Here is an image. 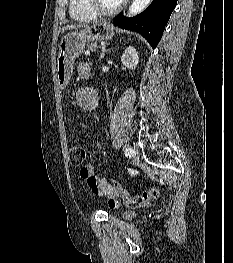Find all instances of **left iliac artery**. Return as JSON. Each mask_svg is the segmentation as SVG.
Wrapping results in <instances>:
<instances>
[{"instance_id": "44dca946", "label": "left iliac artery", "mask_w": 233, "mask_h": 263, "mask_svg": "<svg viewBox=\"0 0 233 263\" xmlns=\"http://www.w3.org/2000/svg\"><path fill=\"white\" fill-rule=\"evenodd\" d=\"M124 154L126 155V156H130L131 154H132V149L131 148H125V150H124Z\"/></svg>"}]
</instances>
